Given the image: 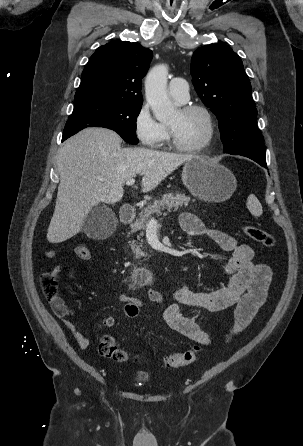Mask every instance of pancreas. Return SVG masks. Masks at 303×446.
<instances>
[{
  "label": "pancreas",
  "mask_w": 303,
  "mask_h": 446,
  "mask_svg": "<svg viewBox=\"0 0 303 446\" xmlns=\"http://www.w3.org/2000/svg\"><path fill=\"white\" fill-rule=\"evenodd\" d=\"M189 202L190 197L182 193H167L163 195L162 199L155 200L152 204H148V206L139 214L135 223L132 225V232L145 230L151 215L155 214L157 216H160L163 211L167 210L168 212H170L172 209L176 211L183 205L187 206ZM130 246L137 258H141L144 255V252L141 249L142 244L138 245L135 243V241H132L130 243Z\"/></svg>",
  "instance_id": "pancreas-1"
}]
</instances>
